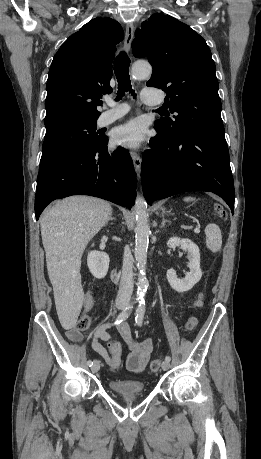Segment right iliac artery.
<instances>
[{
	"label": "right iliac artery",
	"mask_w": 261,
	"mask_h": 459,
	"mask_svg": "<svg viewBox=\"0 0 261 459\" xmlns=\"http://www.w3.org/2000/svg\"><path fill=\"white\" fill-rule=\"evenodd\" d=\"M133 308V303L130 304L129 306H127L116 318L115 320V324H119L121 323L122 321L126 320L130 313H131V310ZM93 361L91 360H88L87 364L91 367L93 365Z\"/></svg>",
	"instance_id": "right-iliac-artery-1"
}]
</instances>
